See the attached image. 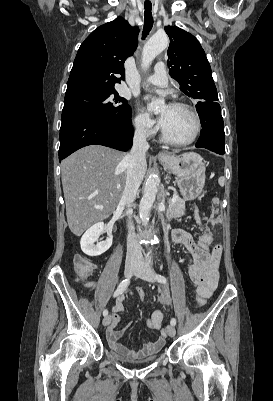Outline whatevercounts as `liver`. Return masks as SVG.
Wrapping results in <instances>:
<instances>
[{
	"label": "liver",
	"mask_w": 273,
	"mask_h": 401,
	"mask_svg": "<svg viewBox=\"0 0 273 401\" xmlns=\"http://www.w3.org/2000/svg\"><path fill=\"white\" fill-rule=\"evenodd\" d=\"M126 168L124 152L100 144L84 146L63 160L67 223L74 235L80 237L91 225L112 215L126 186Z\"/></svg>",
	"instance_id": "1"
}]
</instances>
